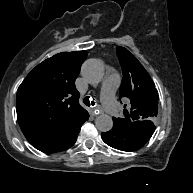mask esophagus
<instances>
[{"mask_svg":"<svg viewBox=\"0 0 193 193\" xmlns=\"http://www.w3.org/2000/svg\"><path fill=\"white\" fill-rule=\"evenodd\" d=\"M102 112L100 107H97L93 110L94 115H99Z\"/></svg>","mask_w":193,"mask_h":193,"instance_id":"34e87169","label":"esophagus"}]
</instances>
